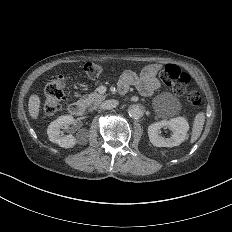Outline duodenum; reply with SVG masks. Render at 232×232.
<instances>
[{
	"label": "duodenum",
	"instance_id": "1",
	"mask_svg": "<svg viewBox=\"0 0 232 232\" xmlns=\"http://www.w3.org/2000/svg\"><path fill=\"white\" fill-rule=\"evenodd\" d=\"M69 112L74 116H81L84 112V107L79 102H73L69 105Z\"/></svg>",
	"mask_w": 232,
	"mask_h": 232
}]
</instances>
